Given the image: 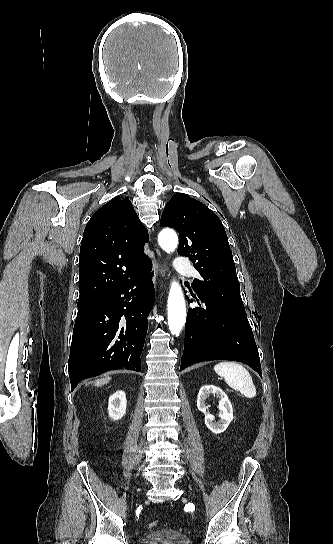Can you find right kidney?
<instances>
[{
    "instance_id": "obj_1",
    "label": "right kidney",
    "mask_w": 333,
    "mask_h": 544,
    "mask_svg": "<svg viewBox=\"0 0 333 544\" xmlns=\"http://www.w3.org/2000/svg\"><path fill=\"white\" fill-rule=\"evenodd\" d=\"M126 394L124 391H116L109 397L108 413L113 420L121 419L126 413Z\"/></svg>"
}]
</instances>
